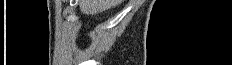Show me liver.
<instances>
[{
	"mask_svg": "<svg viewBox=\"0 0 232 65\" xmlns=\"http://www.w3.org/2000/svg\"><path fill=\"white\" fill-rule=\"evenodd\" d=\"M123 0H79V7L83 14L94 15L120 4Z\"/></svg>",
	"mask_w": 232,
	"mask_h": 65,
	"instance_id": "6515ba94",
	"label": "liver"
}]
</instances>
